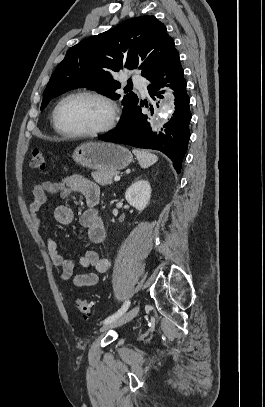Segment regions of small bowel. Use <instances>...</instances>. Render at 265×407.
Returning a JSON list of instances; mask_svg holds the SVG:
<instances>
[{
	"label": "small bowel",
	"mask_w": 265,
	"mask_h": 407,
	"mask_svg": "<svg viewBox=\"0 0 265 407\" xmlns=\"http://www.w3.org/2000/svg\"><path fill=\"white\" fill-rule=\"evenodd\" d=\"M72 192L81 193L86 200L87 209L80 216V224L86 229L89 241L94 244L103 242L106 234L105 227L98 211L94 208V201H99L100 190L96 183L80 173L68 174L56 182L40 181L34 186V200L29 206V212L35 229L40 232L43 228L41 211L48 201V194L65 197ZM54 217L60 224H70L74 214L69 206L60 204L54 210ZM46 245L52 263L61 270V279L72 280L77 287L94 286L98 281V274L105 273L108 269V260L94 250L64 258L53 238H47ZM76 262L81 267L93 269V271L74 274Z\"/></svg>",
	"instance_id": "c3829d8e"
}]
</instances>
